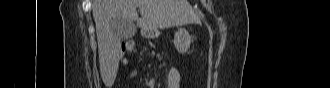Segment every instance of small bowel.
<instances>
[{"instance_id":"obj_1","label":"small bowel","mask_w":330,"mask_h":88,"mask_svg":"<svg viewBox=\"0 0 330 88\" xmlns=\"http://www.w3.org/2000/svg\"><path fill=\"white\" fill-rule=\"evenodd\" d=\"M167 88H179L181 82V74L177 68H171L168 71L167 78H166Z\"/></svg>"}]
</instances>
